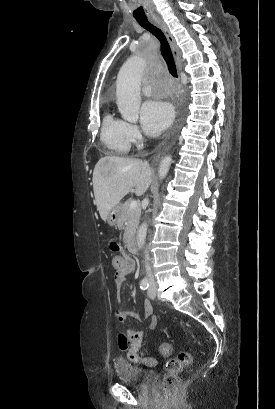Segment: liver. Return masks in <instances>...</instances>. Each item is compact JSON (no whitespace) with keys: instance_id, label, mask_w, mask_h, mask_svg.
Segmentation results:
<instances>
[{"instance_id":"6515ba94","label":"liver","mask_w":275,"mask_h":409,"mask_svg":"<svg viewBox=\"0 0 275 409\" xmlns=\"http://www.w3.org/2000/svg\"><path fill=\"white\" fill-rule=\"evenodd\" d=\"M92 180L97 211L106 221L109 211L133 186L137 196L144 194L152 182V170L148 162L139 158L102 156L95 164Z\"/></svg>"}]
</instances>
